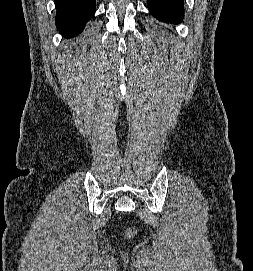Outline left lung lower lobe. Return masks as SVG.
Returning <instances> with one entry per match:
<instances>
[{
	"label": "left lung lower lobe",
	"mask_w": 253,
	"mask_h": 271,
	"mask_svg": "<svg viewBox=\"0 0 253 271\" xmlns=\"http://www.w3.org/2000/svg\"><path fill=\"white\" fill-rule=\"evenodd\" d=\"M184 0H147L151 14L161 21L180 23L184 17Z\"/></svg>",
	"instance_id": "left-lung-lower-lobe-1"
}]
</instances>
